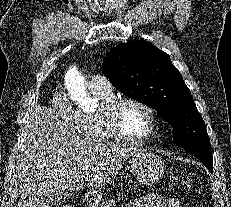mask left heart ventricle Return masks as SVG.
Here are the masks:
<instances>
[{"label": "left heart ventricle", "mask_w": 231, "mask_h": 207, "mask_svg": "<svg viewBox=\"0 0 231 207\" xmlns=\"http://www.w3.org/2000/svg\"><path fill=\"white\" fill-rule=\"evenodd\" d=\"M125 131L133 137H143L150 131L148 113L139 105L126 104L120 114Z\"/></svg>", "instance_id": "obj_1"}]
</instances>
